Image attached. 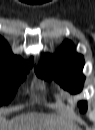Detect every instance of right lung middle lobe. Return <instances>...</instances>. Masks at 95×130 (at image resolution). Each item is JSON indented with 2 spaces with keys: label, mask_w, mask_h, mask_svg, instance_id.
I'll return each mask as SVG.
<instances>
[{
  "label": "right lung middle lobe",
  "mask_w": 95,
  "mask_h": 130,
  "mask_svg": "<svg viewBox=\"0 0 95 130\" xmlns=\"http://www.w3.org/2000/svg\"><path fill=\"white\" fill-rule=\"evenodd\" d=\"M24 71L27 70H4L0 71L1 101L9 103L16 93L17 87L25 79Z\"/></svg>",
  "instance_id": "1"
}]
</instances>
